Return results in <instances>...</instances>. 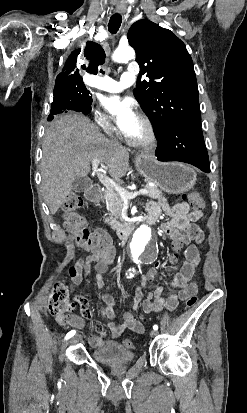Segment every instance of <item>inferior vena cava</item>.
I'll list each match as a JSON object with an SVG mask.
<instances>
[{"mask_svg": "<svg viewBox=\"0 0 247 413\" xmlns=\"http://www.w3.org/2000/svg\"><path fill=\"white\" fill-rule=\"evenodd\" d=\"M110 140H112V142H118V140H116V138H110Z\"/></svg>", "mask_w": 247, "mask_h": 413, "instance_id": "1", "label": "inferior vena cava"}]
</instances>
